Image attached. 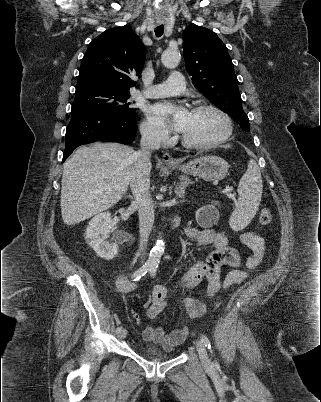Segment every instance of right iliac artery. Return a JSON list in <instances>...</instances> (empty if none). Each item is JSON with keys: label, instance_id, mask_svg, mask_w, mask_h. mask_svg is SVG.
<instances>
[{"label": "right iliac artery", "instance_id": "82829eb1", "mask_svg": "<svg viewBox=\"0 0 321 402\" xmlns=\"http://www.w3.org/2000/svg\"><path fill=\"white\" fill-rule=\"evenodd\" d=\"M152 268V265L150 264H144L142 267L137 269L133 275L132 278L134 281L139 280L142 276H144L148 271H150ZM122 330V327H117L116 332L119 333Z\"/></svg>", "mask_w": 321, "mask_h": 402}]
</instances>
